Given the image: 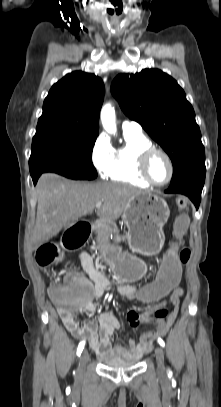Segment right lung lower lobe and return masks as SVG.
Listing matches in <instances>:
<instances>
[{
  "instance_id": "right-lung-lower-lobe-1",
  "label": "right lung lower lobe",
  "mask_w": 221,
  "mask_h": 407,
  "mask_svg": "<svg viewBox=\"0 0 221 407\" xmlns=\"http://www.w3.org/2000/svg\"><path fill=\"white\" fill-rule=\"evenodd\" d=\"M40 175H32L33 183L36 184Z\"/></svg>"
}]
</instances>
